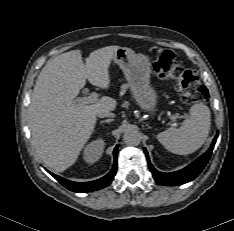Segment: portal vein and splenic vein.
<instances>
[{"instance_id":"obj_1","label":"portal vein and splenic vein","mask_w":234,"mask_h":231,"mask_svg":"<svg viewBox=\"0 0 234 231\" xmlns=\"http://www.w3.org/2000/svg\"><path fill=\"white\" fill-rule=\"evenodd\" d=\"M97 101H98V94L95 93V92H92L87 97H83V98H78L77 99V102L81 103V104H90V103H95ZM170 119L173 122L172 126L176 127L177 126V123H176L177 116L176 115H172V116H170Z\"/></svg>"}]
</instances>
